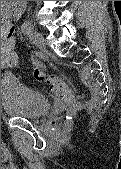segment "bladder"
<instances>
[{
  "label": "bladder",
  "mask_w": 121,
  "mask_h": 169,
  "mask_svg": "<svg viewBox=\"0 0 121 169\" xmlns=\"http://www.w3.org/2000/svg\"><path fill=\"white\" fill-rule=\"evenodd\" d=\"M1 107L10 117L38 119L51 108L50 100L10 74L1 79Z\"/></svg>",
  "instance_id": "bladder-1"
}]
</instances>
